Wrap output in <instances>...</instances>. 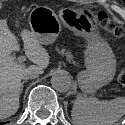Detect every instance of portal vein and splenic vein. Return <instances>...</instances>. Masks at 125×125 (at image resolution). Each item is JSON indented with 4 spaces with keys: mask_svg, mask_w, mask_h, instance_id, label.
<instances>
[{
    "mask_svg": "<svg viewBox=\"0 0 125 125\" xmlns=\"http://www.w3.org/2000/svg\"><path fill=\"white\" fill-rule=\"evenodd\" d=\"M25 60H26L25 56H21V57H18V58H17V62H18L19 64H21V63L24 62Z\"/></svg>",
    "mask_w": 125,
    "mask_h": 125,
    "instance_id": "1",
    "label": "portal vein and splenic vein"
}]
</instances>
